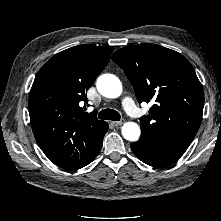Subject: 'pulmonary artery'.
Here are the masks:
<instances>
[{
	"label": "pulmonary artery",
	"mask_w": 221,
	"mask_h": 221,
	"mask_svg": "<svg viewBox=\"0 0 221 221\" xmlns=\"http://www.w3.org/2000/svg\"><path fill=\"white\" fill-rule=\"evenodd\" d=\"M123 106H124V109L130 114V115H133V116H139V112H138V109L136 107V105L134 104L133 100L129 97H125L123 99Z\"/></svg>",
	"instance_id": "e3ab8cb5"
}]
</instances>
